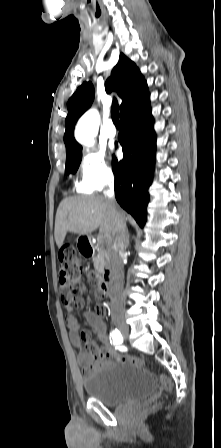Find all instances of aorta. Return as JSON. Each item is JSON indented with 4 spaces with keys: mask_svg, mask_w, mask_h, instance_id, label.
Wrapping results in <instances>:
<instances>
[{
    "mask_svg": "<svg viewBox=\"0 0 221 448\" xmlns=\"http://www.w3.org/2000/svg\"><path fill=\"white\" fill-rule=\"evenodd\" d=\"M99 114L96 110H89L78 121L75 129L76 140L85 145H94V138L99 127Z\"/></svg>",
    "mask_w": 221,
    "mask_h": 448,
    "instance_id": "762f6f07",
    "label": "aorta"
}]
</instances>
